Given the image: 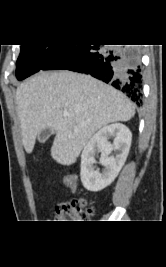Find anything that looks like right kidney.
I'll return each instance as SVG.
<instances>
[{
    "label": "right kidney",
    "instance_id": "obj_1",
    "mask_svg": "<svg viewBox=\"0 0 166 267\" xmlns=\"http://www.w3.org/2000/svg\"><path fill=\"white\" fill-rule=\"evenodd\" d=\"M114 137L113 144L109 139ZM132 134L123 124L115 123L100 129L87 143L81 154L80 177L89 191H100L110 185L124 165L131 146ZM116 151L115 156H110ZM101 153L102 172L95 169V154Z\"/></svg>",
    "mask_w": 166,
    "mask_h": 267
}]
</instances>
